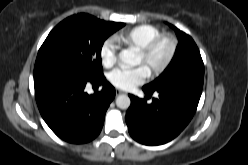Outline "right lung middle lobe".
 Returning <instances> with one entry per match:
<instances>
[{"label": "right lung middle lobe", "instance_id": "dd1d6c3e", "mask_svg": "<svg viewBox=\"0 0 248 165\" xmlns=\"http://www.w3.org/2000/svg\"><path fill=\"white\" fill-rule=\"evenodd\" d=\"M124 25L100 21L84 13L66 18L42 44L35 62L34 77L59 69L89 80L102 77V45Z\"/></svg>", "mask_w": 248, "mask_h": 165}]
</instances>
